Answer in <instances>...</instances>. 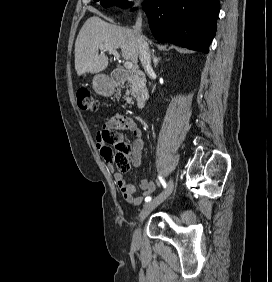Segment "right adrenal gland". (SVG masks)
<instances>
[{"label": "right adrenal gland", "mask_w": 272, "mask_h": 282, "mask_svg": "<svg viewBox=\"0 0 272 282\" xmlns=\"http://www.w3.org/2000/svg\"><path fill=\"white\" fill-rule=\"evenodd\" d=\"M152 59H153L154 66L156 67L161 58L155 56L154 50H152Z\"/></svg>", "instance_id": "2a0ac1e0"}]
</instances>
